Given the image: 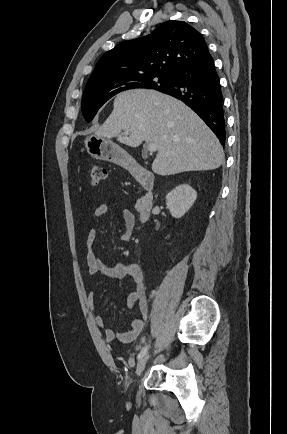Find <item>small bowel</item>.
Listing matches in <instances>:
<instances>
[{
    "label": "small bowel",
    "instance_id": "1",
    "mask_svg": "<svg viewBox=\"0 0 287 434\" xmlns=\"http://www.w3.org/2000/svg\"><path fill=\"white\" fill-rule=\"evenodd\" d=\"M113 209L117 212L120 221L119 235L122 241L128 242L132 236L134 228V215L127 209L120 206L114 198L109 199L107 203L99 204L94 210L95 218L106 216ZM97 238L96 231L90 229L86 236V242L89 251L86 256V262L89 275L100 274L103 277L121 281L125 276H130L133 288L127 297L126 305L128 308H133L138 305L140 316L132 321L127 330L122 333H117L113 329L107 327L106 320L102 316L95 317V323L98 327L104 329L105 338L107 341H119L124 344L131 343L142 332L149 313L148 301L146 297V287L144 276L140 265L136 263H117L106 264L98 258L92 250V246ZM88 304L92 310L95 308V295L91 292L88 295Z\"/></svg>",
    "mask_w": 287,
    "mask_h": 434
}]
</instances>
